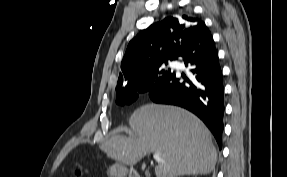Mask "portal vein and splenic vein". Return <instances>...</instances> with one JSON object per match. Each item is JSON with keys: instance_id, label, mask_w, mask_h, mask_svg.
<instances>
[{"instance_id": "obj_1", "label": "portal vein and splenic vein", "mask_w": 287, "mask_h": 177, "mask_svg": "<svg viewBox=\"0 0 287 177\" xmlns=\"http://www.w3.org/2000/svg\"><path fill=\"white\" fill-rule=\"evenodd\" d=\"M153 158L156 162H164V160L160 157V154L158 152H155L153 154Z\"/></svg>"}]
</instances>
